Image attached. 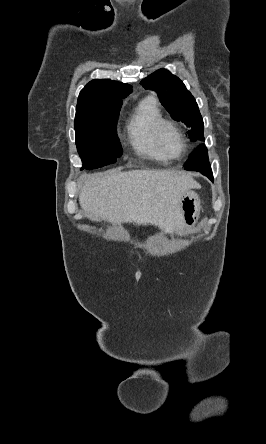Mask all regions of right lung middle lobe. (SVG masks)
<instances>
[{
    "label": "right lung middle lobe",
    "mask_w": 266,
    "mask_h": 444,
    "mask_svg": "<svg viewBox=\"0 0 266 444\" xmlns=\"http://www.w3.org/2000/svg\"><path fill=\"white\" fill-rule=\"evenodd\" d=\"M122 101H104L76 109V146L84 164L93 169L116 162L122 155L116 123Z\"/></svg>",
    "instance_id": "dd1d6c3e"
}]
</instances>
